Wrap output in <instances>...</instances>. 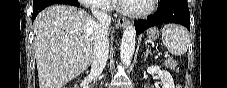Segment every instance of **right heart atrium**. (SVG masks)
<instances>
[{
	"label": "right heart atrium",
	"instance_id": "d8ad5b80",
	"mask_svg": "<svg viewBox=\"0 0 227 88\" xmlns=\"http://www.w3.org/2000/svg\"><path fill=\"white\" fill-rule=\"evenodd\" d=\"M81 2L92 12L104 13L110 10L109 0H81Z\"/></svg>",
	"mask_w": 227,
	"mask_h": 88
}]
</instances>
